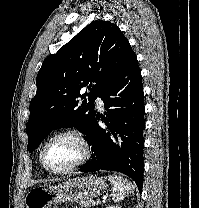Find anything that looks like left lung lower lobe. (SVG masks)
Instances as JSON below:
<instances>
[{
    "instance_id": "obj_1",
    "label": "left lung lower lobe",
    "mask_w": 199,
    "mask_h": 208,
    "mask_svg": "<svg viewBox=\"0 0 199 208\" xmlns=\"http://www.w3.org/2000/svg\"><path fill=\"white\" fill-rule=\"evenodd\" d=\"M106 107V129L98 126L95 116L88 136L92 159L83 165L81 172L99 169L124 173L131 177L142 192L143 186V115L144 93L141 71L136 55L98 95Z\"/></svg>"
}]
</instances>
